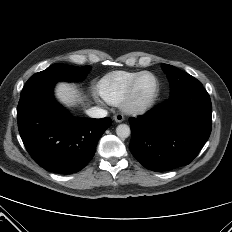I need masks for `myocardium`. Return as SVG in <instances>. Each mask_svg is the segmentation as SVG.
<instances>
[{
  "instance_id": "myocardium-1",
  "label": "myocardium",
  "mask_w": 232,
  "mask_h": 232,
  "mask_svg": "<svg viewBox=\"0 0 232 232\" xmlns=\"http://www.w3.org/2000/svg\"><path fill=\"white\" fill-rule=\"evenodd\" d=\"M143 76H150L153 79L154 91L147 100L138 102L135 100V91L140 79ZM159 91H160V85L157 77L151 72L143 71L140 74H138V76L131 83L129 89L127 90L120 104L121 109L127 114H142L153 106V104L158 98Z\"/></svg>"
}]
</instances>
